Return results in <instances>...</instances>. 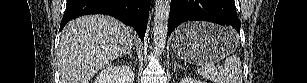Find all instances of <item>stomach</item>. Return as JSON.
<instances>
[{
  "label": "stomach",
  "mask_w": 307,
  "mask_h": 83,
  "mask_svg": "<svg viewBox=\"0 0 307 83\" xmlns=\"http://www.w3.org/2000/svg\"><path fill=\"white\" fill-rule=\"evenodd\" d=\"M237 46L238 35L234 30L207 22L186 23L175 31L172 39L174 53L196 65L219 62Z\"/></svg>",
  "instance_id": "0dacf381"
}]
</instances>
